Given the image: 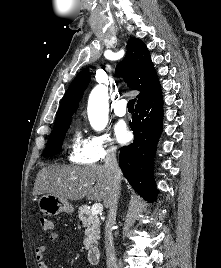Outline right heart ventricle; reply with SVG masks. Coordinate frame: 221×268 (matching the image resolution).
I'll return each instance as SVG.
<instances>
[{"mask_svg": "<svg viewBox=\"0 0 221 268\" xmlns=\"http://www.w3.org/2000/svg\"><path fill=\"white\" fill-rule=\"evenodd\" d=\"M69 160L76 164H92L94 160L90 154L88 139L83 138L79 131H76L69 144Z\"/></svg>", "mask_w": 221, "mask_h": 268, "instance_id": "1", "label": "right heart ventricle"}]
</instances>
